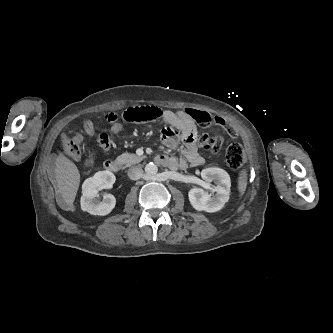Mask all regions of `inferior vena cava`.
<instances>
[{
    "label": "inferior vena cava",
    "instance_id": "obj_1",
    "mask_svg": "<svg viewBox=\"0 0 333 333\" xmlns=\"http://www.w3.org/2000/svg\"><path fill=\"white\" fill-rule=\"evenodd\" d=\"M142 175H143V170L138 166L131 167L128 170V177L131 180H138L142 177Z\"/></svg>",
    "mask_w": 333,
    "mask_h": 333
}]
</instances>
